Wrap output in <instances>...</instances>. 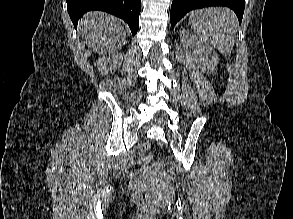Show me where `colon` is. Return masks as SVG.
Wrapping results in <instances>:
<instances>
[{
    "label": "colon",
    "mask_w": 293,
    "mask_h": 219,
    "mask_svg": "<svg viewBox=\"0 0 293 219\" xmlns=\"http://www.w3.org/2000/svg\"><path fill=\"white\" fill-rule=\"evenodd\" d=\"M149 147H150L149 143L145 142L141 148L142 160L145 162L150 161L152 159V156L149 153ZM162 163H163L162 160L158 161V164H162ZM133 196L136 201H138L145 207L147 208L152 207V195L148 189L144 187H138L134 190Z\"/></svg>",
    "instance_id": "colon-1"
}]
</instances>
